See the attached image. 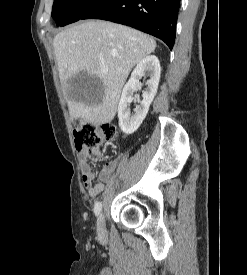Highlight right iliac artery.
Segmentation results:
<instances>
[{
	"label": "right iliac artery",
	"instance_id": "right-iliac-artery-1",
	"mask_svg": "<svg viewBox=\"0 0 247 275\" xmlns=\"http://www.w3.org/2000/svg\"><path fill=\"white\" fill-rule=\"evenodd\" d=\"M101 210H102V203L98 201L95 203V206H94L95 215H99Z\"/></svg>",
	"mask_w": 247,
	"mask_h": 275
}]
</instances>
